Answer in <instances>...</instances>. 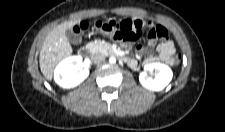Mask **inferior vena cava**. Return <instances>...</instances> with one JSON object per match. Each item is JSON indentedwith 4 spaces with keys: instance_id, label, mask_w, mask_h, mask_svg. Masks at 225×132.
Instances as JSON below:
<instances>
[{
    "instance_id": "602c4592",
    "label": "inferior vena cava",
    "mask_w": 225,
    "mask_h": 132,
    "mask_svg": "<svg viewBox=\"0 0 225 132\" xmlns=\"http://www.w3.org/2000/svg\"><path fill=\"white\" fill-rule=\"evenodd\" d=\"M105 60V57L104 56H101V55H96V56H93V61L95 63H101Z\"/></svg>"
}]
</instances>
